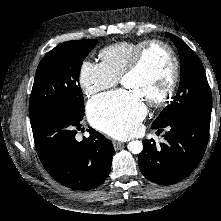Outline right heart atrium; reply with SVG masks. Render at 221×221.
I'll list each match as a JSON object with an SVG mask.
<instances>
[{
  "label": "right heart atrium",
  "instance_id": "right-heart-atrium-1",
  "mask_svg": "<svg viewBox=\"0 0 221 221\" xmlns=\"http://www.w3.org/2000/svg\"><path fill=\"white\" fill-rule=\"evenodd\" d=\"M79 80L88 96L110 89L118 83V78L109 73L101 63L84 61L80 69Z\"/></svg>",
  "mask_w": 221,
  "mask_h": 221
}]
</instances>
